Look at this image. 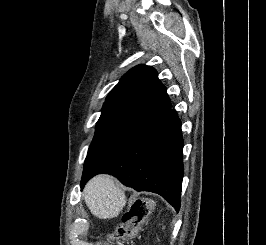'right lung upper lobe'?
I'll use <instances>...</instances> for the list:
<instances>
[{"instance_id": "obj_1", "label": "right lung upper lobe", "mask_w": 266, "mask_h": 245, "mask_svg": "<svg viewBox=\"0 0 266 245\" xmlns=\"http://www.w3.org/2000/svg\"><path fill=\"white\" fill-rule=\"evenodd\" d=\"M171 108L165 87L150 66L128 71L110 91L101 116L145 121Z\"/></svg>"}]
</instances>
